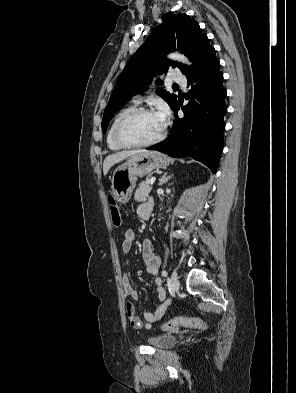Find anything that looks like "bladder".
<instances>
[{
	"instance_id": "1",
	"label": "bladder",
	"mask_w": 296,
	"mask_h": 393,
	"mask_svg": "<svg viewBox=\"0 0 296 393\" xmlns=\"http://www.w3.org/2000/svg\"><path fill=\"white\" fill-rule=\"evenodd\" d=\"M148 343L159 349H168L176 345L177 337L172 334L157 335L148 338Z\"/></svg>"
}]
</instances>
